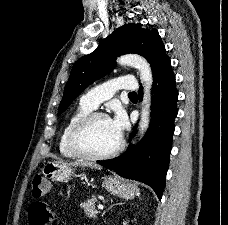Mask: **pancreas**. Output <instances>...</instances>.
Segmentation results:
<instances>
[{"instance_id":"obj_1","label":"pancreas","mask_w":228,"mask_h":225,"mask_svg":"<svg viewBox=\"0 0 228 225\" xmlns=\"http://www.w3.org/2000/svg\"><path fill=\"white\" fill-rule=\"evenodd\" d=\"M95 203H97L96 197H92V199H87L85 203H81L80 207L83 209L86 217H91V219H96L97 211L95 207Z\"/></svg>"}]
</instances>
